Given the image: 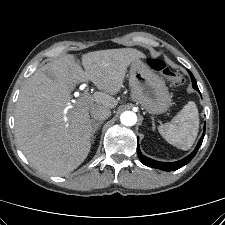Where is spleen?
I'll return each instance as SVG.
<instances>
[{
  "label": "spleen",
  "mask_w": 225,
  "mask_h": 225,
  "mask_svg": "<svg viewBox=\"0 0 225 225\" xmlns=\"http://www.w3.org/2000/svg\"><path fill=\"white\" fill-rule=\"evenodd\" d=\"M199 129V114L196 104L188 102L171 122L158 127L159 133L171 145L188 150L194 144Z\"/></svg>",
  "instance_id": "1"
}]
</instances>
